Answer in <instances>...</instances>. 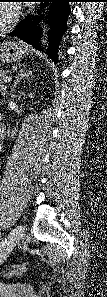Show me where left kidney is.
<instances>
[{
  "label": "left kidney",
  "mask_w": 107,
  "mask_h": 297,
  "mask_svg": "<svg viewBox=\"0 0 107 297\" xmlns=\"http://www.w3.org/2000/svg\"><path fill=\"white\" fill-rule=\"evenodd\" d=\"M29 97H30V98H33V97H34V93H30V94H29Z\"/></svg>",
  "instance_id": "left-kidney-1"
}]
</instances>
